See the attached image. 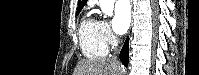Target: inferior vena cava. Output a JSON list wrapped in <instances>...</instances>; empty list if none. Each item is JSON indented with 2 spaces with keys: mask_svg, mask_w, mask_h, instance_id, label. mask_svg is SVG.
Instances as JSON below:
<instances>
[{
  "mask_svg": "<svg viewBox=\"0 0 199 75\" xmlns=\"http://www.w3.org/2000/svg\"><path fill=\"white\" fill-rule=\"evenodd\" d=\"M113 58H114L115 60H117V57H116V56H114Z\"/></svg>",
  "mask_w": 199,
  "mask_h": 75,
  "instance_id": "inferior-vena-cava-1",
  "label": "inferior vena cava"
}]
</instances>
